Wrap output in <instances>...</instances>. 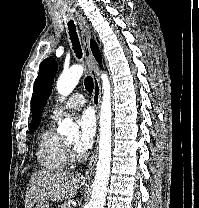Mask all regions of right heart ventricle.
I'll return each mask as SVG.
<instances>
[{"label":"right heart ventricle","instance_id":"right-heart-ventricle-1","mask_svg":"<svg viewBox=\"0 0 199 208\" xmlns=\"http://www.w3.org/2000/svg\"><path fill=\"white\" fill-rule=\"evenodd\" d=\"M56 119L51 117L38 137L37 160L42 168L48 171H61L67 167L70 161L67 143L55 131L54 121Z\"/></svg>","mask_w":199,"mask_h":208}]
</instances>
